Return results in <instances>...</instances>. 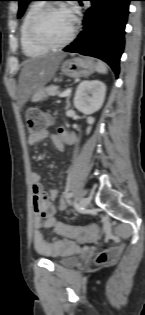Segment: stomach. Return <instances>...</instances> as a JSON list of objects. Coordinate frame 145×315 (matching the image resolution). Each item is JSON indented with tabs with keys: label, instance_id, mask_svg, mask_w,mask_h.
<instances>
[{
	"label": "stomach",
	"instance_id": "obj_1",
	"mask_svg": "<svg viewBox=\"0 0 145 315\" xmlns=\"http://www.w3.org/2000/svg\"><path fill=\"white\" fill-rule=\"evenodd\" d=\"M65 70L62 73L71 78L89 76L96 70V62L92 58H72L64 63Z\"/></svg>",
	"mask_w": 145,
	"mask_h": 315
}]
</instances>
